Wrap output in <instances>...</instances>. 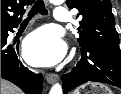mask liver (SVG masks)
I'll return each instance as SVG.
<instances>
[{"label": "liver", "mask_w": 121, "mask_h": 94, "mask_svg": "<svg viewBox=\"0 0 121 94\" xmlns=\"http://www.w3.org/2000/svg\"><path fill=\"white\" fill-rule=\"evenodd\" d=\"M1 94H23V92L14 84L1 79Z\"/></svg>", "instance_id": "obj_1"}]
</instances>
